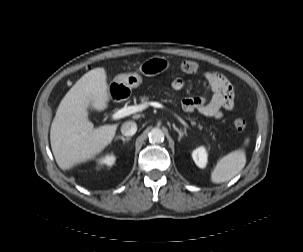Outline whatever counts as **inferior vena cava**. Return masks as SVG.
<instances>
[{
  "mask_svg": "<svg viewBox=\"0 0 303 252\" xmlns=\"http://www.w3.org/2000/svg\"><path fill=\"white\" fill-rule=\"evenodd\" d=\"M137 131V125L133 121H127L122 124L121 132L124 136H133Z\"/></svg>",
  "mask_w": 303,
  "mask_h": 252,
  "instance_id": "inferior-vena-cava-1",
  "label": "inferior vena cava"
}]
</instances>
